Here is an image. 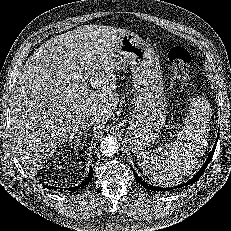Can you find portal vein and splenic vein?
Segmentation results:
<instances>
[{
	"label": "portal vein and splenic vein",
	"mask_w": 231,
	"mask_h": 231,
	"mask_svg": "<svg viewBox=\"0 0 231 231\" xmlns=\"http://www.w3.org/2000/svg\"><path fill=\"white\" fill-rule=\"evenodd\" d=\"M83 88H84V89H87V88H88V84H87V83H84Z\"/></svg>",
	"instance_id": "obj_1"
}]
</instances>
